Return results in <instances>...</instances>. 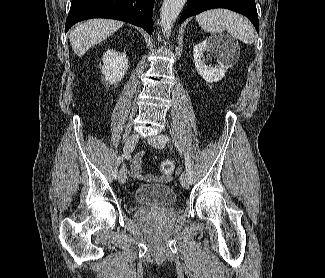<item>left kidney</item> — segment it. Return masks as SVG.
Masks as SVG:
<instances>
[{
	"label": "left kidney",
	"instance_id": "1",
	"mask_svg": "<svg viewBox=\"0 0 325 278\" xmlns=\"http://www.w3.org/2000/svg\"><path fill=\"white\" fill-rule=\"evenodd\" d=\"M206 51L214 55L219 62L218 66L212 67L205 64L202 55ZM193 57L197 72L205 81L213 83L220 81L227 69L234 65L238 59V52L225 37L216 36L209 37L195 45Z\"/></svg>",
	"mask_w": 325,
	"mask_h": 278
}]
</instances>
